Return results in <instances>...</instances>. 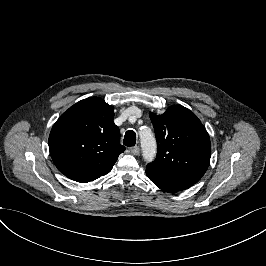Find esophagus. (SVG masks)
<instances>
[{
  "mask_svg": "<svg viewBox=\"0 0 266 266\" xmlns=\"http://www.w3.org/2000/svg\"><path fill=\"white\" fill-rule=\"evenodd\" d=\"M130 152L133 155H138L140 153V148L138 146L132 147V148H130Z\"/></svg>",
  "mask_w": 266,
  "mask_h": 266,
  "instance_id": "34e87169",
  "label": "esophagus"
}]
</instances>
